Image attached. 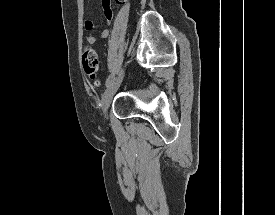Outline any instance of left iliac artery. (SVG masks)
Here are the masks:
<instances>
[{"mask_svg":"<svg viewBox=\"0 0 275 215\" xmlns=\"http://www.w3.org/2000/svg\"><path fill=\"white\" fill-rule=\"evenodd\" d=\"M114 79V75H110L106 80V87H109V85L112 83Z\"/></svg>","mask_w":275,"mask_h":215,"instance_id":"1","label":"left iliac artery"}]
</instances>
